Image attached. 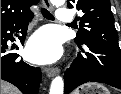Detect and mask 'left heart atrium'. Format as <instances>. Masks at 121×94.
Returning <instances> with one entry per match:
<instances>
[{
    "label": "left heart atrium",
    "instance_id": "obj_1",
    "mask_svg": "<svg viewBox=\"0 0 121 94\" xmlns=\"http://www.w3.org/2000/svg\"><path fill=\"white\" fill-rule=\"evenodd\" d=\"M62 53L58 34L49 27L37 31L27 44L25 55L35 63H50L57 60Z\"/></svg>",
    "mask_w": 121,
    "mask_h": 94
}]
</instances>
